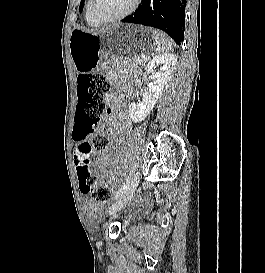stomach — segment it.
Listing matches in <instances>:
<instances>
[{
	"label": "stomach",
	"instance_id": "stomach-1",
	"mask_svg": "<svg viewBox=\"0 0 265 273\" xmlns=\"http://www.w3.org/2000/svg\"><path fill=\"white\" fill-rule=\"evenodd\" d=\"M148 29V25H109V30L96 32L74 29L69 47L75 68L79 73H97L98 69H111V64H135L141 56H155V51L149 50L159 49L163 40L157 30Z\"/></svg>",
	"mask_w": 265,
	"mask_h": 273
}]
</instances>
